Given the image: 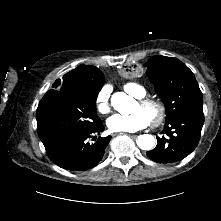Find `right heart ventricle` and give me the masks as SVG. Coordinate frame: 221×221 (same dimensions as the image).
<instances>
[{
  "label": "right heart ventricle",
  "mask_w": 221,
  "mask_h": 221,
  "mask_svg": "<svg viewBox=\"0 0 221 221\" xmlns=\"http://www.w3.org/2000/svg\"><path fill=\"white\" fill-rule=\"evenodd\" d=\"M125 90L136 98H144L147 94L146 90L137 83L129 82L124 86Z\"/></svg>",
  "instance_id": "e07e8e85"
}]
</instances>
